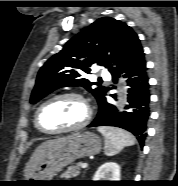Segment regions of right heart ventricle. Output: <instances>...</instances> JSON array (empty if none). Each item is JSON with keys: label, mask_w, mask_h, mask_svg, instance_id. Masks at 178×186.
<instances>
[{"label": "right heart ventricle", "mask_w": 178, "mask_h": 186, "mask_svg": "<svg viewBox=\"0 0 178 186\" xmlns=\"http://www.w3.org/2000/svg\"><path fill=\"white\" fill-rule=\"evenodd\" d=\"M36 113V112H35ZM34 124H35V114H34Z\"/></svg>", "instance_id": "obj_1"}]
</instances>
